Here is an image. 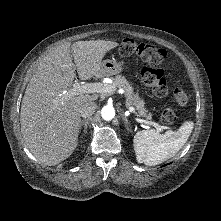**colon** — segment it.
Wrapping results in <instances>:
<instances>
[{
  "instance_id": "colon-1",
  "label": "colon",
  "mask_w": 221,
  "mask_h": 221,
  "mask_svg": "<svg viewBox=\"0 0 221 221\" xmlns=\"http://www.w3.org/2000/svg\"><path fill=\"white\" fill-rule=\"evenodd\" d=\"M119 52L122 56L136 55L142 59L147 66L142 70V79L147 84L155 95L163 97L167 94V82L164 78V73L161 68L166 53L152 44L137 43L132 39H125L119 47ZM172 100L178 106H184L188 101V96L182 88L174 89ZM161 120L165 125H173L177 121L175 112L167 108L162 112Z\"/></svg>"
}]
</instances>
